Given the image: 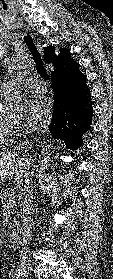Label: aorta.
I'll return each instance as SVG.
<instances>
[{"label": "aorta", "mask_w": 113, "mask_h": 279, "mask_svg": "<svg viewBox=\"0 0 113 279\" xmlns=\"http://www.w3.org/2000/svg\"><path fill=\"white\" fill-rule=\"evenodd\" d=\"M24 64V58L23 57H17L15 59L14 63L11 66V69L18 70L21 68V66ZM24 106V99L20 96H15L11 99L10 104H9V109L11 113H20L23 109ZM49 154L47 155L46 153H42V158L40 159L39 163V170L41 172H45L49 169Z\"/></svg>", "instance_id": "762f6f07"}]
</instances>
